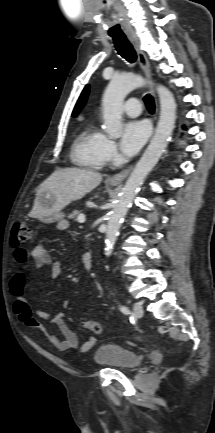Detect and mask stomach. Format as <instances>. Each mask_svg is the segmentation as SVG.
Returning a JSON list of instances; mask_svg holds the SVG:
<instances>
[{
	"mask_svg": "<svg viewBox=\"0 0 215 433\" xmlns=\"http://www.w3.org/2000/svg\"><path fill=\"white\" fill-rule=\"evenodd\" d=\"M114 186V185H111ZM39 203L45 209H51L53 203V196L48 192H41L39 195ZM64 217L63 213L60 210L53 211L49 215L41 218V221L44 223H53L56 221L62 220Z\"/></svg>",
	"mask_w": 215,
	"mask_h": 433,
	"instance_id": "stomach-1",
	"label": "stomach"
}]
</instances>
